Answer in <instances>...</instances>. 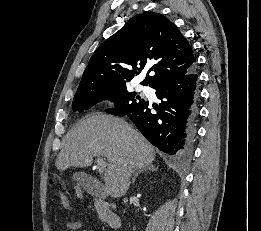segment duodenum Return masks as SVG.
I'll use <instances>...</instances> for the list:
<instances>
[{
    "mask_svg": "<svg viewBox=\"0 0 261 231\" xmlns=\"http://www.w3.org/2000/svg\"><path fill=\"white\" fill-rule=\"evenodd\" d=\"M95 207L102 219L113 229L120 227V219L108 206L106 201L100 197H94Z\"/></svg>",
    "mask_w": 261,
    "mask_h": 231,
    "instance_id": "obj_1",
    "label": "duodenum"
}]
</instances>
